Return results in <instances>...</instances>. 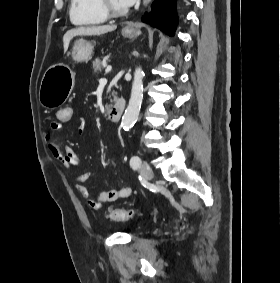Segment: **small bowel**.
I'll return each instance as SVG.
<instances>
[{
	"label": "small bowel",
	"instance_id": "small-bowel-1",
	"mask_svg": "<svg viewBox=\"0 0 280 283\" xmlns=\"http://www.w3.org/2000/svg\"><path fill=\"white\" fill-rule=\"evenodd\" d=\"M73 111V110H72ZM57 117V116H56ZM73 117V116H71ZM61 123L53 121L50 124L51 132L57 133L61 130ZM76 123L79 131H84L87 122L83 116H78L76 118ZM51 134L49 133L48 136ZM48 148L52 156L58 160L65 168H71L77 166L80 163V159L77 153L71 147H61L60 144L56 141H49ZM92 176L91 172L78 174L74 177L73 181L77 188V190L81 193V195L86 200V203L89 208L93 210H100L102 206L106 203H110L116 201L120 198H127L131 195V188L130 187H122L118 189H111L107 191H103L99 194V196L94 199L90 196L88 189L84 186V182L89 180Z\"/></svg>",
	"mask_w": 280,
	"mask_h": 283
}]
</instances>
